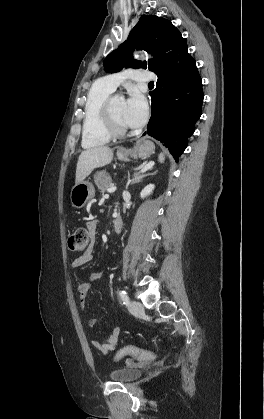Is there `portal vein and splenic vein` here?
Wrapping results in <instances>:
<instances>
[{"label": "portal vein and splenic vein", "instance_id": "portal-vein-and-splenic-vein-1", "mask_svg": "<svg viewBox=\"0 0 264 419\" xmlns=\"http://www.w3.org/2000/svg\"><path fill=\"white\" fill-rule=\"evenodd\" d=\"M151 165L149 164V165H147L146 167H144L141 171L143 172V171H145L147 168H149ZM115 190H116V187L115 186H110L109 188H108V193H113V192H115Z\"/></svg>", "mask_w": 264, "mask_h": 419}]
</instances>
